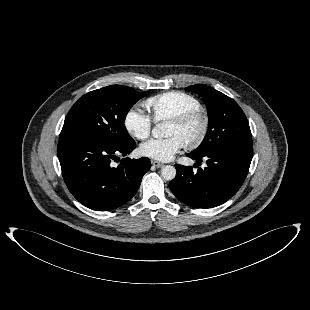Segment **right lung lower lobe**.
<instances>
[{
	"label": "right lung lower lobe",
	"instance_id": "98d812e1",
	"mask_svg": "<svg viewBox=\"0 0 310 310\" xmlns=\"http://www.w3.org/2000/svg\"><path fill=\"white\" fill-rule=\"evenodd\" d=\"M136 147L134 140L122 145L91 138L60 139L58 158L64 181L84 206L108 211L128 202L150 169L147 157L123 158L117 167L112 159L126 156Z\"/></svg>",
	"mask_w": 310,
	"mask_h": 310
}]
</instances>
